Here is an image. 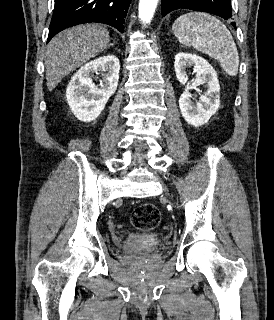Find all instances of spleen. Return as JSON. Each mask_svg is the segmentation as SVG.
I'll return each instance as SVG.
<instances>
[{
	"label": "spleen",
	"mask_w": 274,
	"mask_h": 320,
	"mask_svg": "<svg viewBox=\"0 0 274 320\" xmlns=\"http://www.w3.org/2000/svg\"><path fill=\"white\" fill-rule=\"evenodd\" d=\"M172 30L181 44L193 46L198 52L208 54L220 62L228 76H237L239 54L226 26L203 12H189L175 20Z\"/></svg>",
	"instance_id": "spleen-1"
}]
</instances>
